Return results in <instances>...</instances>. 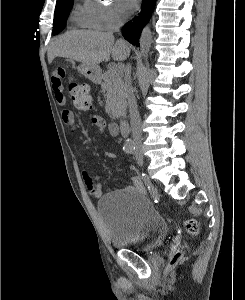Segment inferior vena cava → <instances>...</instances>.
Segmentation results:
<instances>
[{
	"instance_id": "obj_1",
	"label": "inferior vena cava",
	"mask_w": 245,
	"mask_h": 300,
	"mask_svg": "<svg viewBox=\"0 0 245 300\" xmlns=\"http://www.w3.org/2000/svg\"><path fill=\"white\" fill-rule=\"evenodd\" d=\"M121 25L122 22H118L115 27V31H118ZM125 92L128 100L133 142L136 147V150L139 151L142 144L141 119L138 111L136 98L134 95V90L131 83V69L129 65L125 68Z\"/></svg>"
}]
</instances>
